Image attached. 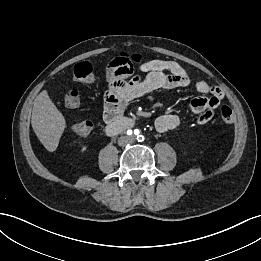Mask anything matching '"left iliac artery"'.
<instances>
[{
	"label": "left iliac artery",
	"instance_id": "left-iliac-artery-1",
	"mask_svg": "<svg viewBox=\"0 0 261 261\" xmlns=\"http://www.w3.org/2000/svg\"><path fill=\"white\" fill-rule=\"evenodd\" d=\"M139 132H138V130H135V134H138ZM139 137V136H138ZM140 139H143L144 140V137L142 136V135H140ZM140 141V140H139Z\"/></svg>",
	"mask_w": 261,
	"mask_h": 261
}]
</instances>
